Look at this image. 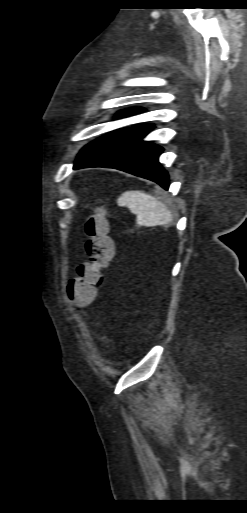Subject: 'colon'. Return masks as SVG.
<instances>
[{
  "mask_svg": "<svg viewBox=\"0 0 247 513\" xmlns=\"http://www.w3.org/2000/svg\"><path fill=\"white\" fill-rule=\"evenodd\" d=\"M88 261L78 265L66 285L67 298L76 305H85L96 296L103 282V269L113 255L110 226L103 213L90 215L83 224Z\"/></svg>",
  "mask_w": 247,
  "mask_h": 513,
  "instance_id": "1",
  "label": "colon"
}]
</instances>
